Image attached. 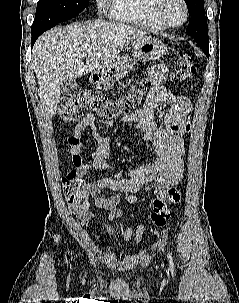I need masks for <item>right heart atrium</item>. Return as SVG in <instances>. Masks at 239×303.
<instances>
[{"label": "right heart atrium", "mask_w": 239, "mask_h": 303, "mask_svg": "<svg viewBox=\"0 0 239 303\" xmlns=\"http://www.w3.org/2000/svg\"><path fill=\"white\" fill-rule=\"evenodd\" d=\"M111 0H96L97 6L101 11H106Z\"/></svg>", "instance_id": "obj_1"}]
</instances>
